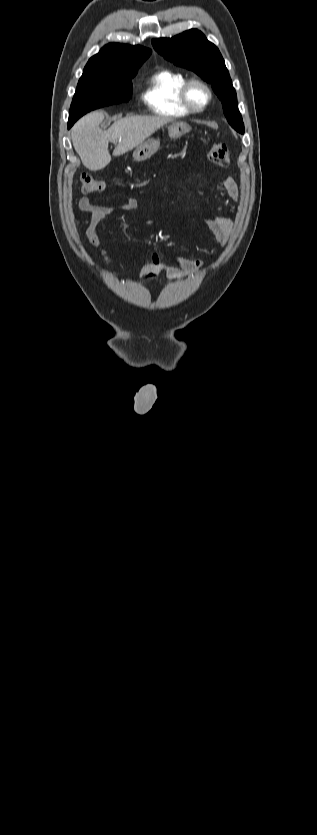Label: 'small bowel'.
I'll return each mask as SVG.
<instances>
[{
    "instance_id": "1",
    "label": "small bowel",
    "mask_w": 317,
    "mask_h": 835,
    "mask_svg": "<svg viewBox=\"0 0 317 835\" xmlns=\"http://www.w3.org/2000/svg\"><path fill=\"white\" fill-rule=\"evenodd\" d=\"M219 185L232 200L237 201L239 199V188L233 178L223 177L220 180ZM137 207L138 203L136 199L128 198L125 202L118 206V209L121 211H134ZM79 208L82 211L90 213V219L85 232L89 244L97 250L100 258L107 265H111L112 259L106 251L100 248V242L98 239L100 225L103 222L106 213L109 212V209L104 206L93 204L87 197H82L80 199ZM206 224L214 239L220 245H225L231 235L233 221L230 218L219 215L206 219ZM171 258L176 263L177 267L188 276L198 273L203 267V262L198 259H188L177 256H172ZM160 260V253L155 252L152 257V262L142 267L139 271V275L144 279L153 277L159 269Z\"/></svg>"
}]
</instances>
